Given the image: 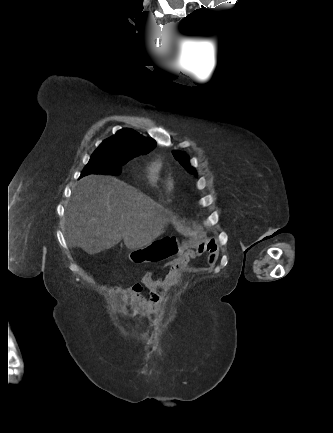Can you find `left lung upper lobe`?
<instances>
[{"mask_svg": "<svg viewBox=\"0 0 333 433\" xmlns=\"http://www.w3.org/2000/svg\"><path fill=\"white\" fill-rule=\"evenodd\" d=\"M173 155L185 167L188 172L197 175L196 171L190 166L189 158L187 157V155L179 151H174Z\"/></svg>", "mask_w": 333, "mask_h": 433, "instance_id": "left-lung-upper-lobe-1", "label": "left lung upper lobe"}]
</instances>
